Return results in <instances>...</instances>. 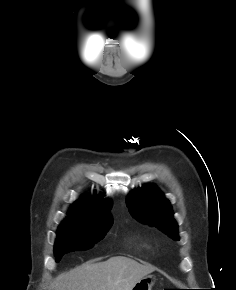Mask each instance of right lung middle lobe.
<instances>
[{
  "label": "right lung middle lobe",
  "instance_id": "1",
  "mask_svg": "<svg viewBox=\"0 0 236 290\" xmlns=\"http://www.w3.org/2000/svg\"><path fill=\"white\" fill-rule=\"evenodd\" d=\"M112 223V219H96L84 222L65 220L58 228L54 247L56 262H59L65 253L91 248L104 237Z\"/></svg>",
  "mask_w": 236,
  "mask_h": 290
}]
</instances>
